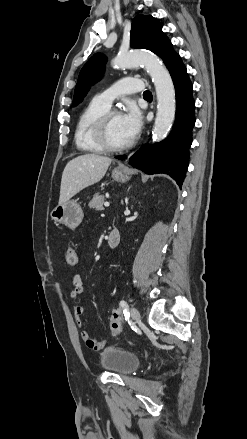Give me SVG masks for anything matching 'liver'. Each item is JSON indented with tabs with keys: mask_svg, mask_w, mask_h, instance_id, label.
Listing matches in <instances>:
<instances>
[{
	"mask_svg": "<svg viewBox=\"0 0 247 439\" xmlns=\"http://www.w3.org/2000/svg\"><path fill=\"white\" fill-rule=\"evenodd\" d=\"M111 162V158L97 154L80 155L70 160L62 174L59 205L70 200L82 189L99 182Z\"/></svg>",
	"mask_w": 247,
	"mask_h": 439,
	"instance_id": "1",
	"label": "liver"
}]
</instances>
